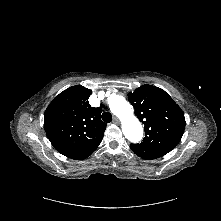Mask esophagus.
<instances>
[{"mask_svg": "<svg viewBox=\"0 0 221 221\" xmlns=\"http://www.w3.org/2000/svg\"><path fill=\"white\" fill-rule=\"evenodd\" d=\"M112 122H113L114 124H118V123H119V119H118L117 117H114Z\"/></svg>", "mask_w": 221, "mask_h": 221, "instance_id": "esophagus-1", "label": "esophagus"}]
</instances>
